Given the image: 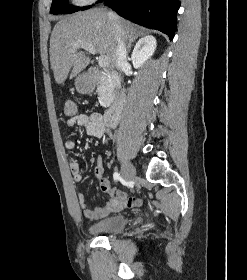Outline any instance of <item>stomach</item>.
<instances>
[{"label":"stomach","mask_w":247,"mask_h":280,"mask_svg":"<svg viewBox=\"0 0 247 280\" xmlns=\"http://www.w3.org/2000/svg\"><path fill=\"white\" fill-rule=\"evenodd\" d=\"M75 86L80 93H88L92 89L90 83L86 81L82 76L76 78Z\"/></svg>","instance_id":"stomach-1"}]
</instances>
